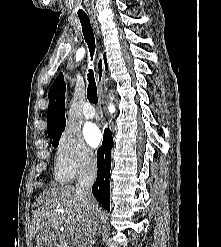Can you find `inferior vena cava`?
<instances>
[{"label":"inferior vena cava","instance_id":"inferior-vena-cava-1","mask_svg":"<svg viewBox=\"0 0 221 247\" xmlns=\"http://www.w3.org/2000/svg\"><path fill=\"white\" fill-rule=\"evenodd\" d=\"M97 165L90 156L80 171L76 181V192L86 210L87 220L83 234L77 238L76 247H92L98 224L96 201L92 196L91 187L96 179Z\"/></svg>","mask_w":221,"mask_h":247}]
</instances>
